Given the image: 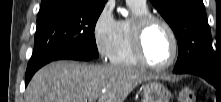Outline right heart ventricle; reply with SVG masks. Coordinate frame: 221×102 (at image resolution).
Instances as JSON below:
<instances>
[{
	"mask_svg": "<svg viewBox=\"0 0 221 102\" xmlns=\"http://www.w3.org/2000/svg\"><path fill=\"white\" fill-rule=\"evenodd\" d=\"M131 11L132 18L118 21V34L116 45L111 56L112 63L121 66H138L140 63L136 59L131 42V29L132 23L135 18L149 14L146 6H138L132 3H128Z\"/></svg>",
	"mask_w": 221,
	"mask_h": 102,
	"instance_id": "right-heart-ventricle-1",
	"label": "right heart ventricle"
}]
</instances>
